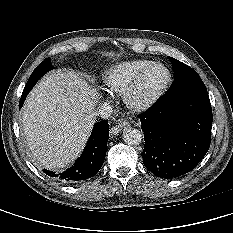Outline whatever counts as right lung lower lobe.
Segmentation results:
<instances>
[{
	"label": "right lung lower lobe",
	"mask_w": 233,
	"mask_h": 233,
	"mask_svg": "<svg viewBox=\"0 0 233 233\" xmlns=\"http://www.w3.org/2000/svg\"><path fill=\"white\" fill-rule=\"evenodd\" d=\"M31 89L32 87L25 86L19 108L22 107ZM108 138V120L97 122L94 125L85 150L72 167L61 173L48 170H44V173L63 183H75L93 177L100 170L104 162Z\"/></svg>",
	"instance_id": "1"
}]
</instances>
